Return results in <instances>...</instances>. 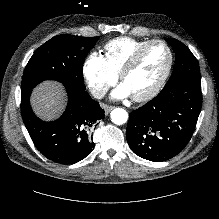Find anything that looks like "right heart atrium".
Wrapping results in <instances>:
<instances>
[{
    "label": "right heart atrium",
    "instance_id": "right-heart-atrium-1",
    "mask_svg": "<svg viewBox=\"0 0 219 219\" xmlns=\"http://www.w3.org/2000/svg\"><path fill=\"white\" fill-rule=\"evenodd\" d=\"M83 75L87 86L95 96H102L114 83L117 74L110 68L103 54L89 53L83 64Z\"/></svg>",
    "mask_w": 219,
    "mask_h": 219
}]
</instances>
